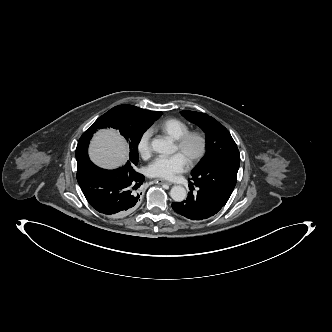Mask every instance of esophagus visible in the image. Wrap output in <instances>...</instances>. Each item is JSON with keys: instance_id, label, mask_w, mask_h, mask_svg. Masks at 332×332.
Wrapping results in <instances>:
<instances>
[{"instance_id": "1", "label": "esophagus", "mask_w": 332, "mask_h": 332, "mask_svg": "<svg viewBox=\"0 0 332 332\" xmlns=\"http://www.w3.org/2000/svg\"><path fill=\"white\" fill-rule=\"evenodd\" d=\"M156 182H157L158 184H166V185H169V186L172 185L171 182L166 181V180H163V179H157Z\"/></svg>"}]
</instances>
